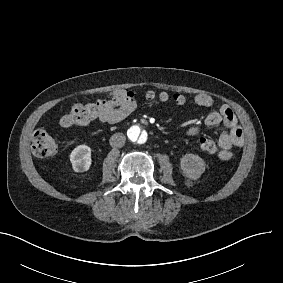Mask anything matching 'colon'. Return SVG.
<instances>
[{
    "label": "colon",
    "mask_w": 283,
    "mask_h": 283,
    "mask_svg": "<svg viewBox=\"0 0 283 283\" xmlns=\"http://www.w3.org/2000/svg\"><path fill=\"white\" fill-rule=\"evenodd\" d=\"M146 96L150 100L158 99L160 102H169L172 100L176 104H183V97L181 95H171L167 92H161L159 94L148 92ZM118 98L129 106L135 102L134 92L131 91L121 94ZM104 103V100H100L96 103L75 105L62 117L60 126L69 128L89 124L100 117L101 110L105 108ZM132 108L133 107H130L126 113L131 112ZM199 148L202 152L207 154H215L217 152V147L210 137H201L199 139ZM56 149L57 143L55 139L46 130H40L34 134L32 150L38 158H48L54 154Z\"/></svg>",
    "instance_id": "colon-1"
}]
</instances>
